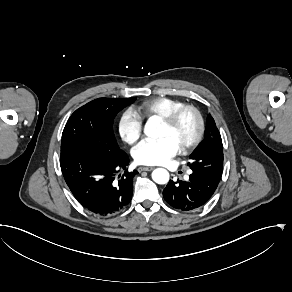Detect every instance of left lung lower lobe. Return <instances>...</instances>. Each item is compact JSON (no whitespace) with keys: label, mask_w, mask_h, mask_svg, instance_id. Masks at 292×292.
<instances>
[{"label":"left lung lower lobe","mask_w":292,"mask_h":292,"mask_svg":"<svg viewBox=\"0 0 292 292\" xmlns=\"http://www.w3.org/2000/svg\"><path fill=\"white\" fill-rule=\"evenodd\" d=\"M220 180L192 173L188 181L170 180L163 190L165 201L175 209L191 211L203 206L214 194Z\"/></svg>","instance_id":"left-lung-lower-lobe-1"}]
</instances>
